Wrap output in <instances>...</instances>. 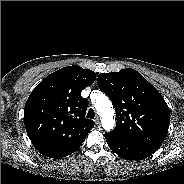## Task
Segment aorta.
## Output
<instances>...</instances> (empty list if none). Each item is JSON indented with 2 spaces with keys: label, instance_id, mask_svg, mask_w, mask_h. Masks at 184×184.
Listing matches in <instances>:
<instances>
[{
  "label": "aorta",
  "instance_id": "1",
  "mask_svg": "<svg viewBox=\"0 0 184 184\" xmlns=\"http://www.w3.org/2000/svg\"><path fill=\"white\" fill-rule=\"evenodd\" d=\"M97 113L101 116L102 126L106 131H110L115 126L114 109L111 101L104 95L99 94L94 101Z\"/></svg>",
  "mask_w": 184,
  "mask_h": 184
}]
</instances>
